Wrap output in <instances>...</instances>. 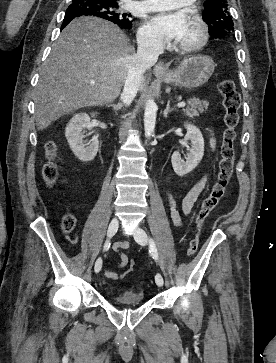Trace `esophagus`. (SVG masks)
<instances>
[{"label":"esophagus","mask_w":276,"mask_h":363,"mask_svg":"<svg viewBox=\"0 0 276 363\" xmlns=\"http://www.w3.org/2000/svg\"><path fill=\"white\" fill-rule=\"evenodd\" d=\"M154 73L155 74H165L167 72V69L162 61L156 64L154 67Z\"/></svg>","instance_id":"34e87169"}]
</instances>
